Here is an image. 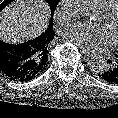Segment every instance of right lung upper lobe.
I'll use <instances>...</instances> for the list:
<instances>
[{
    "mask_svg": "<svg viewBox=\"0 0 118 118\" xmlns=\"http://www.w3.org/2000/svg\"><path fill=\"white\" fill-rule=\"evenodd\" d=\"M53 20L49 24V28L39 37L31 40V45L35 49L36 54V70L42 72L47 64V57L51 43L55 33L53 32Z\"/></svg>",
    "mask_w": 118,
    "mask_h": 118,
    "instance_id": "cb5924a9",
    "label": "right lung upper lobe"
}]
</instances>
